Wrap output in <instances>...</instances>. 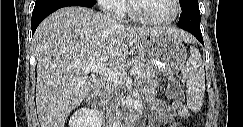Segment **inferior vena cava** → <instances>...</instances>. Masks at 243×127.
Returning a JSON list of instances; mask_svg holds the SVG:
<instances>
[{
  "instance_id": "inferior-vena-cava-1",
  "label": "inferior vena cava",
  "mask_w": 243,
  "mask_h": 127,
  "mask_svg": "<svg viewBox=\"0 0 243 127\" xmlns=\"http://www.w3.org/2000/svg\"><path fill=\"white\" fill-rule=\"evenodd\" d=\"M112 106H113L114 112L115 111L117 112V107L114 106V104ZM109 127H120L119 116L117 113L115 115H114V113L111 114Z\"/></svg>"
}]
</instances>
